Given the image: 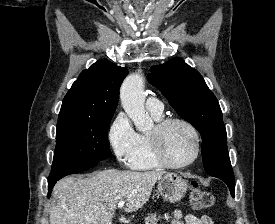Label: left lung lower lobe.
<instances>
[{
    "label": "left lung lower lobe",
    "instance_id": "0a47b994",
    "mask_svg": "<svg viewBox=\"0 0 275 224\" xmlns=\"http://www.w3.org/2000/svg\"><path fill=\"white\" fill-rule=\"evenodd\" d=\"M221 180H223L227 186L229 187V190L231 192V195L234 196L235 193V188H234V179H230V178H220Z\"/></svg>",
    "mask_w": 275,
    "mask_h": 224
}]
</instances>
